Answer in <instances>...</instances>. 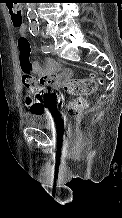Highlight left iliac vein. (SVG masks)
<instances>
[{
  "label": "left iliac vein",
  "mask_w": 122,
  "mask_h": 218,
  "mask_svg": "<svg viewBox=\"0 0 122 218\" xmlns=\"http://www.w3.org/2000/svg\"><path fill=\"white\" fill-rule=\"evenodd\" d=\"M49 48H50V52H51L52 54H54V53H55L54 45H53V44H49Z\"/></svg>",
  "instance_id": "1"
}]
</instances>
